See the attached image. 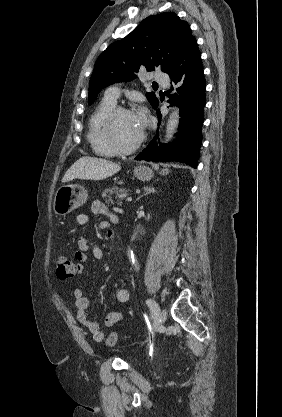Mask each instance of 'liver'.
I'll list each match as a JSON object with an SVG mask.
<instances>
[{
  "label": "liver",
  "instance_id": "liver-1",
  "mask_svg": "<svg viewBox=\"0 0 282 417\" xmlns=\"http://www.w3.org/2000/svg\"><path fill=\"white\" fill-rule=\"evenodd\" d=\"M120 164L106 160V158H96V156H81L68 170H66L62 182H68L72 178H83V180H103L107 176H112L120 170Z\"/></svg>",
  "mask_w": 282,
  "mask_h": 417
}]
</instances>
